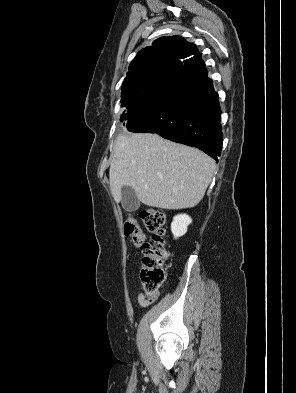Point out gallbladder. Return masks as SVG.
Here are the masks:
<instances>
[{"label":"gallbladder","mask_w":296,"mask_h":393,"mask_svg":"<svg viewBox=\"0 0 296 393\" xmlns=\"http://www.w3.org/2000/svg\"><path fill=\"white\" fill-rule=\"evenodd\" d=\"M121 203L125 210L136 211L140 206V201L134 191L129 186H123L121 190Z\"/></svg>","instance_id":"obj_1"}]
</instances>
